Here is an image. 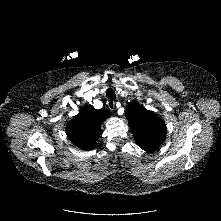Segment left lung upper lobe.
Here are the masks:
<instances>
[{
  "label": "left lung upper lobe",
  "mask_w": 221,
  "mask_h": 221,
  "mask_svg": "<svg viewBox=\"0 0 221 221\" xmlns=\"http://www.w3.org/2000/svg\"><path fill=\"white\" fill-rule=\"evenodd\" d=\"M126 118L137 144L143 150L154 151L164 142L166 126L154 112L131 103L127 106Z\"/></svg>",
  "instance_id": "left-lung-upper-lobe-1"
}]
</instances>
